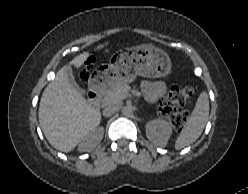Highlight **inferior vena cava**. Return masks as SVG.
Listing matches in <instances>:
<instances>
[{
  "mask_svg": "<svg viewBox=\"0 0 248 194\" xmlns=\"http://www.w3.org/2000/svg\"><path fill=\"white\" fill-rule=\"evenodd\" d=\"M117 111V107L115 106H107L103 109V115L105 117H109Z\"/></svg>",
  "mask_w": 248,
  "mask_h": 194,
  "instance_id": "602c4592",
  "label": "inferior vena cava"
}]
</instances>
